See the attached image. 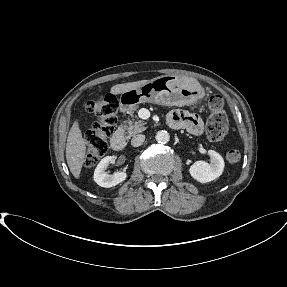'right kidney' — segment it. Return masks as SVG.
I'll use <instances>...</instances> for the list:
<instances>
[{
  "mask_svg": "<svg viewBox=\"0 0 287 287\" xmlns=\"http://www.w3.org/2000/svg\"><path fill=\"white\" fill-rule=\"evenodd\" d=\"M114 161V157L106 156L97 165L94 171V181L101 187L110 188L123 182L127 174L122 171H117L114 174L106 172L107 167Z\"/></svg>",
  "mask_w": 287,
  "mask_h": 287,
  "instance_id": "obj_1",
  "label": "right kidney"
}]
</instances>
